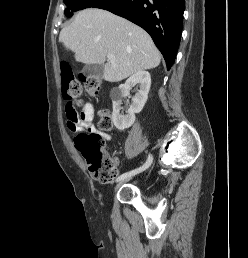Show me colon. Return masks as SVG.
I'll use <instances>...</instances> for the list:
<instances>
[{"label": "colon", "instance_id": "colon-1", "mask_svg": "<svg viewBox=\"0 0 248 258\" xmlns=\"http://www.w3.org/2000/svg\"><path fill=\"white\" fill-rule=\"evenodd\" d=\"M63 94L68 102L67 109L74 110L81 104L82 84L91 96L101 93V82L93 76H82L79 80L72 77L70 67L62 66ZM75 111V110H74ZM112 115L108 110L99 113V127L109 132L113 129ZM76 149L81 153L92 175L101 183H111L117 177V168L114 159L104 149L100 133L93 131L79 132L74 138Z\"/></svg>", "mask_w": 248, "mask_h": 258}]
</instances>
